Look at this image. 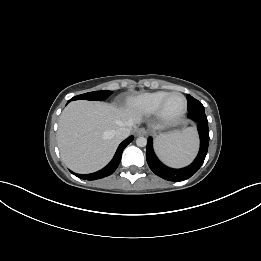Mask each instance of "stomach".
<instances>
[{
    "label": "stomach",
    "mask_w": 261,
    "mask_h": 261,
    "mask_svg": "<svg viewBox=\"0 0 261 261\" xmlns=\"http://www.w3.org/2000/svg\"><path fill=\"white\" fill-rule=\"evenodd\" d=\"M182 127H183V125H181V124L164 127V128H162V131H163L162 134H160L159 136H165V135L180 132Z\"/></svg>",
    "instance_id": "stomach-1"
}]
</instances>
